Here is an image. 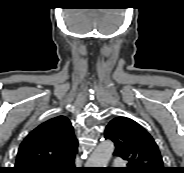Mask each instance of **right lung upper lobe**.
Here are the masks:
<instances>
[{"label":"right lung upper lobe","mask_w":184,"mask_h":173,"mask_svg":"<svg viewBox=\"0 0 184 173\" xmlns=\"http://www.w3.org/2000/svg\"><path fill=\"white\" fill-rule=\"evenodd\" d=\"M78 141L65 116L51 118L35 128L21 143L14 173H40L72 160Z\"/></svg>","instance_id":"right-lung-upper-lobe-1"}]
</instances>
